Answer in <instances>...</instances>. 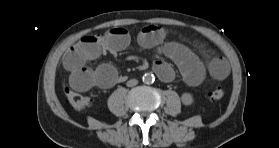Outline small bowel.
Listing matches in <instances>:
<instances>
[{
    "instance_id": "1",
    "label": "small bowel",
    "mask_w": 279,
    "mask_h": 148,
    "mask_svg": "<svg viewBox=\"0 0 279 148\" xmlns=\"http://www.w3.org/2000/svg\"><path fill=\"white\" fill-rule=\"evenodd\" d=\"M138 43L145 49L156 51L170 59L179 68L184 81L190 86L202 84L207 77L223 80L229 73V67L223 57L210 55L207 67L186 46L176 42H165V31L156 25L143 27L137 37ZM130 35L122 27H113L103 35H87L71 46L63 57V65L70 73L69 82L78 91H87L92 87L110 89L120 80L117 70L108 63L91 69L87 63L96 60L103 54L116 55L127 48ZM201 47L200 44H197ZM154 71L166 82L174 79V71L163 59L154 63Z\"/></svg>"
}]
</instances>
